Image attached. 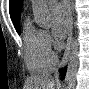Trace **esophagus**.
<instances>
[{
	"instance_id": "obj_1",
	"label": "esophagus",
	"mask_w": 89,
	"mask_h": 89,
	"mask_svg": "<svg viewBox=\"0 0 89 89\" xmlns=\"http://www.w3.org/2000/svg\"><path fill=\"white\" fill-rule=\"evenodd\" d=\"M65 5L67 8L69 25H68L66 48H65L62 60L60 62V67H64L67 64V62L70 58L71 50H72L73 18H72V9H71V5H70V1H66ZM56 77H58V73L56 74Z\"/></svg>"
}]
</instances>
